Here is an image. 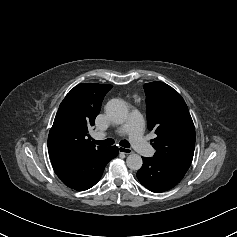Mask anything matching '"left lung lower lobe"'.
Returning a JSON list of instances; mask_svg holds the SVG:
<instances>
[{
    "label": "left lung lower lobe",
    "mask_w": 237,
    "mask_h": 237,
    "mask_svg": "<svg viewBox=\"0 0 237 237\" xmlns=\"http://www.w3.org/2000/svg\"><path fill=\"white\" fill-rule=\"evenodd\" d=\"M142 159L143 165L137 172V178L152 192H163L173 188L187 172L185 169L159 161L154 157Z\"/></svg>",
    "instance_id": "obj_1"
}]
</instances>
